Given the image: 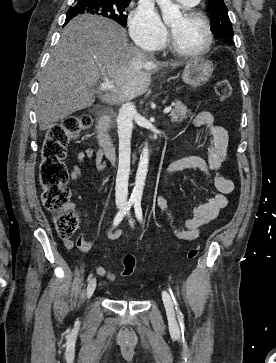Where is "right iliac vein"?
<instances>
[{
  "label": "right iliac vein",
  "instance_id": "right-iliac-vein-1",
  "mask_svg": "<svg viewBox=\"0 0 276 363\" xmlns=\"http://www.w3.org/2000/svg\"><path fill=\"white\" fill-rule=\"evenodd\" d=\"M95 288H96V279L93 278L89 281V284L87 286V290H86L87 298H90L93 295Z\"/></svg>",
  "mask_w": 276,
  "mask_h": 363
}]
</instances>
